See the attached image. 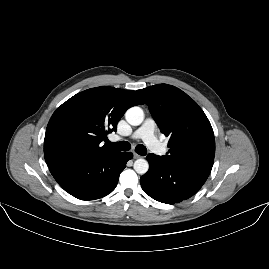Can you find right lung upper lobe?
I'll use <instances>...</instances> for the list:
<instances>
[{"label":"right lung upper lobe","instance_id":"1","mask_svg":"<svg viewBox=\"0 0 269 269\" xmlns=\"http://www.w3.org/2000/svg\"><path fill=\"white\" fill-rule=\"evenodd\" d=\"M140 104L143 101L135 91L114 87L101 86L74 95L56 109L47 125V165L114 151L100 143L117 130V123L128 108Z\"/></svg>","mask_w":269,"mask_h":269}]
</instances>
